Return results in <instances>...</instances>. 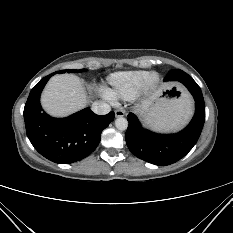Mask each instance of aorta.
I'll use <instances>...</instances> for the list:
<instances>
[{
    "label": "aorta",
    "instance_id": "obj_1",
    "mask_svg": "<svg viewBox=\"0 0 233 233\" xmlns=\"http://www.w3.org/2000/svg\"><path fill=\"white\" fill-rule=\"evenodd\" d=\"M115 126L118 130L120 131H124L127 129L128 127V121L127 119H125L124 117H118L116 120H115Z\"/></svg>",
    "mask_w": 233,
    "mask_h": 233
}]
</instances>
